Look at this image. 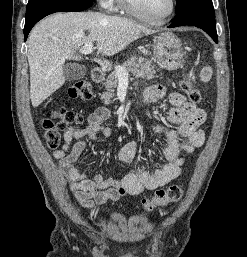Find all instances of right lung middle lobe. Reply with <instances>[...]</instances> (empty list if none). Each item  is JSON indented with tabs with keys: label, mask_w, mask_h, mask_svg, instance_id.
<instances>
[{
	"label": "right lung middle lobe",
	"mask_w": 247,
	"mask_h": 257,
	"mask_svg": "<svg viewBox=\"0 0 247 257\" xmlns=\"http://www.w3.org/2000/svg\"><path fill=\"white\" fill-rule=\"evenodd\" d=\"M36 1V0H29V2Z\"/></svg>",
	"instance_id": "obj_1"
}]
</instances>
